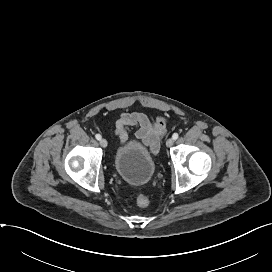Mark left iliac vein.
Returning <instances> with one entry per match:
<instances>
[{
	"label": "left iliac vein",
	"instance_id": "1",
	"mask_svg": "<svg viewBox=\"0 0 272 272\" xmlns=\"http://www.w3.org/2000/svg\"><path fill=\"white\" fill-rule=\"evenodd\" d=\"M174 143V139L173 138H169L167 141H166V146L167 147H171Z\"/></svg>",
	"mask_w": 272,
	"mask_h": 272
}]
</instances>
